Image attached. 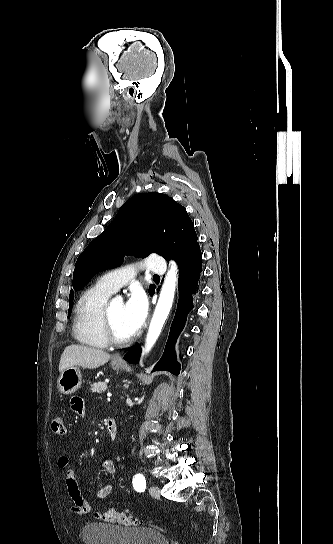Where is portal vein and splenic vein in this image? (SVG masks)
<instances>
[{
  "label": "portal vein and splenic vein",
  "instance_id": "portal-vein-and-splenic-vein-1",
  "mask_svg": "<svg viewBox=\"0 0 333 544\" xmlns=\"http://www.w3.org/2000/svg\"><path fill=\"white\" fill-rule=\"evenodd\" d=\"M112 396L111 393H107V397L110 398Z\"/></svg>",
  "mask_w": 333,
  "mask_h": 544
}]
</instances>
